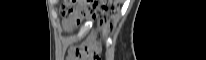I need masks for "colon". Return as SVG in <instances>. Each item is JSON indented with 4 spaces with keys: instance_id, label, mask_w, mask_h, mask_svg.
<instances>
[{
    "instance_id": "5ec220e1",
    "label": "colon",
    "mask_w": 206,
    "mask_h": 60,
    "mask_svg": "<svg viewBox=\"0 0 206 60\" xmlns=\"http://www.w3.org/2000/svg\"><path fill=\"white\" fill-rule=\"evenodd\" d=\"M116 8L117 1L114 0H64L61 13L63 17L77 21L86 13H98L101 17L102 32L105 33L109 29L110 19ZM75 54L80 60H100L98 38H93L75 49Z\"/></svg>"
}]
</instances>
